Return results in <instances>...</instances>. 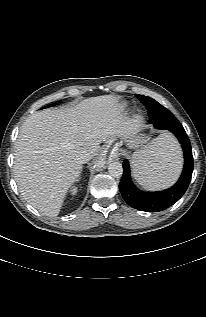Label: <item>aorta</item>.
I'll list each match as a JSON object with an SVG mask.
<instances>
[{"mask_svg":"<svg viewBox=\"0 0 206 317\" xmlns=\"http://www.w3.org/2000/svg\"><path fill=\"white\" fill-rule=\"evenodd\" d=\"M108 172L113 177H120L123 174L122 164L119 162H112L108 166Z\"/></svg>","mask_w":206,"mask_h":317,"instance_id":"obj_1","label":"aorta"}]
</instances>
